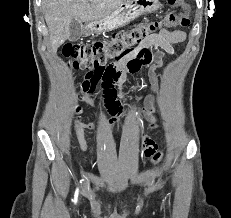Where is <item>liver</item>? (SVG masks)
I'll return each instance as SVG.
<instances>
[{"label":"liver","mask_w":231,"mask_h":218,"mask_svg":"<svg viewBox=\"0 0 231 218\" xmlns=\"http://www.w3.org/2000/svg\"><path fill=\"white\" fill-rule=\"evenodd\" d=\"M125 0H42L52 51L70 36V22H90L112 14Z\"/></svg>","instance_id":"6515ba94"}]
</instances>
